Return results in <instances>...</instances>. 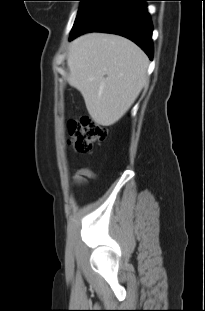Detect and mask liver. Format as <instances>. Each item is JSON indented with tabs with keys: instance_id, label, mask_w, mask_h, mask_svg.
I'll return each mask as SVG.
<instances>
[{
	"instance_id": "liver-1",
	"label": "liver",
	"mask_w": 205,
	"mask_h": 311,
	"mask_svg": "<svg viewBox=\"0 0 205 311\" xmlns=\"http://www.w3.org/2000/svg\"><path fill=\"white\" fill-rule=\"evenodd\" d=\"M148 63L144 52L128 39L92 33L71 46L68 82L82 94L94 122L111 126L146 84Z\"/></svg>"
}]
</instances>
